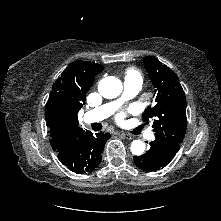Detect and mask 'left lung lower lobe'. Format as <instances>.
I'll use <instances>...</instances> for the list:
<instances>
[{
	"mask_svg": "<svg viewBox=\"0 0 221 221\" xmlns=\"http://www.w3.org/2000/svg\"><path fill=\"white\" fill-rule=\"evenodd\" d=\"M150 149L142 156H134L135 164L144 171H156L168 165L178 152L180 145L155 139Z\"/></svg>",
	"mask_w": 221,
	"mask_h": 221,
	"instance_id": "0a47b994",
	"label": "left lung lower lobe"
}]
</instances>
